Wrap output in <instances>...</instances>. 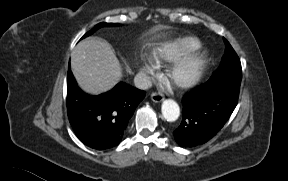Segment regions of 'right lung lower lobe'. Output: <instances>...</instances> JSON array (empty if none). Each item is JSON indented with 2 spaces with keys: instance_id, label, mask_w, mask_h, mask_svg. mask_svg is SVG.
<instances>
[{
  "instance_id": "obj_1",
  "label": "right lung lower lobe",
  "mask_w": 288,
  "mask_h": 181,
  "mask_svg": "<svg viewBox=\"0 0 288 181\" xmlns=\"http://www.w3.org/2000/svg\"><path fill=\"white\" fill-rule=\"evenodd\" d=\"M145 94V91L119 83L109 92L90 96L77 87L68 67L69 122L79 140L91 148L104 150L117 146Z\"/></svg>"
}]
</instances>
